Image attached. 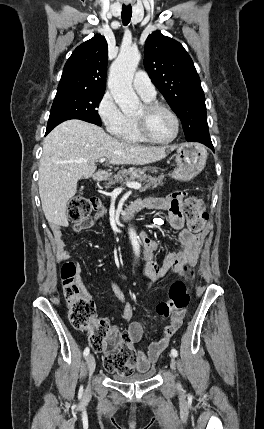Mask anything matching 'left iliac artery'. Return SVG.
I'll use <instances>...</instances> for the list:
<instances>
[{
  "instance_id": "obj_1",
  "label": "left iliac artery",
  "mask_w": 264,
  "mask_h": 429,
  "mask_svg": "<svg viewBox=\"0 0 264 429\" xmlns=\"http://www.w3.org/2000/svg\"><path fill=\"white\" fill-rule=\"evenodd\" d=\"M171 354H172V356L177 357L178 352H177V350H176V349H172V350H171Z\"/></svg>"
}]
</instances>
